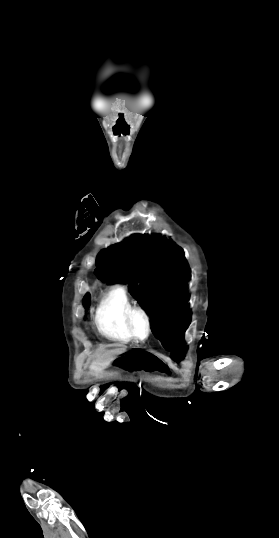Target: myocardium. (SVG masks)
I'll return each instance as SVG.
<instances>
[{"mask_svg": "<svg viewBox=\"0 0 279 538\" xmlns=\"http://www.w3.org/2000/svg\"><path fill=\"white\" fill-rule=\"evenodd\" d=\"M136 315H139L143 318L146 328V334L144 337H138L133 330V319ZM125 326L131 337L136 342H146L152 333V323L149 314L147 311L139 306H132L126 313L125 316Z\"/></svg>", "mask_w": 279, "mask_h": 538, "instance_id": "obj_1", "label": "myocardium"}]
</instances>
